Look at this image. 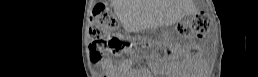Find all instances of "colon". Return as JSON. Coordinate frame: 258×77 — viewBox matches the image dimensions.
<instances>
[{
  "instance_id": "obj_1",
  "label": "colon",
  "mask_w": 258,
  "mask_h": 77,
  "mask_svg": "<svg viewBox=\"0 0 258 77\" xmlns=\"http://www.w3.org/2000/svg\"><path fill=\"white\" fill-rule=\"evenodd\" d=\"M210 25V16L207 13L197 14L190 23L183 24L180 32L185 36L203 38L206 36ZM118 26L112 12L105 6L94 8L90 23V46L92 61H98L105 50L118 52L127 47V43L115 34Z\"/></svg>"
}]
</instances>
